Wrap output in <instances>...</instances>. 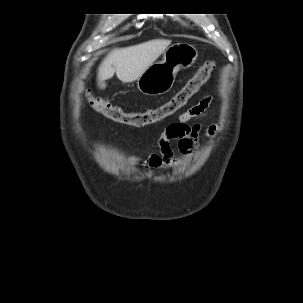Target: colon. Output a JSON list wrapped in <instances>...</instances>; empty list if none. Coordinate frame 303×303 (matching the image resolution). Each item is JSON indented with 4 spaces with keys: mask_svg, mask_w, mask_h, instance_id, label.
<instances>
[{
    "mask_svg": "<svg viewBox=\"0 0 303 303\" xmlns=\"http://www.w3.org/2000/svg\"><path fill=\"white\" fill-rule=\"evenodd\" d=\"M214 67L215 63L213 61H206L168 101L144 111H125L105 98H89L87 102L95 112L118 124L140 128L160 122L182 109L207 82Z\"/></svg>",
    "mask_w": 303,
    "mask_h": 303,
    "instance_id": "colon-1",
    "label": "colon"
}]
</instances>
